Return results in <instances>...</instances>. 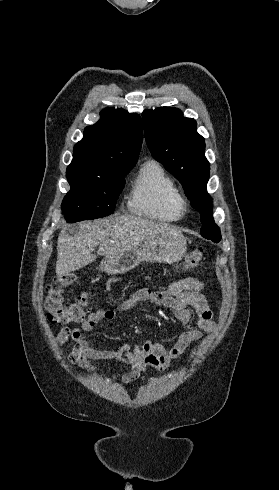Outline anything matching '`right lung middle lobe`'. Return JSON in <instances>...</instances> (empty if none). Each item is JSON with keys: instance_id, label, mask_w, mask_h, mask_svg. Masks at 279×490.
Here are the masks:
<instances>
[{"instance_id": "1", "label": "right lung middle lobe", "mask_w": 279, "mask_h": 490, "mask_svg": "<svg viewBox=\"0 0 279 490\" xmlns=\"http://www.w3.org/2000/svg\"><path fill=\"white\" fill-rule=\"evenodd\" d=\"M133 167L117 168L106 174L67 173L71 189L62 202L66 221L74 223L112 214L125 185L123 176Z\"/></svg>"}]
</instances>
